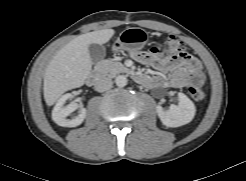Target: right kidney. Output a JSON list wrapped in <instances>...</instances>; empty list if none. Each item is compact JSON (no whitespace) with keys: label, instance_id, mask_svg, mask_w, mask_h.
Returning <instances> with one entry per match:
<instances>
[{"label":"right kidney","instance_id":"right-kidney-1","mask_svg":"<svg viewBox=\"0 0 246 181\" xmlns=\"http://www.w3.org/2000/svg\"><path fill=\"white\" fill-rule=\"evenodd\" d=\"M70 97H71V94L63 95L58 100L55 107L53 108L52 119L59 126L76 127V126H79L86 117V109L81 108L78 116L72 119L66 118L68 115H70L72 112H74L79 107L77 103H71L67 106H63L66 100L69 99Z\"/></svg>","mask_w":246,"mask_h":181}]
</instances>
